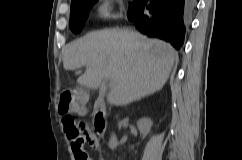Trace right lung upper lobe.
<instances>
[{
	"instance_id": "1",
	"label": "right lung upper lobe",
	"mask_w": 242,
	"mask_h": 160,
	"mask_svg": "<svg viewBox=\"0 0 242 160\" xmlns=\"http://www.w3.org/2000/svg\"><path fill=\"white\" fill-rule=\"evenodd\" d=\"M75 1H78V0H72L71 3H72V2H75Z\"/></svg>"
}]
</instances>
